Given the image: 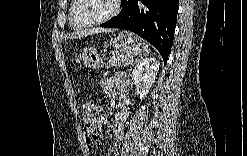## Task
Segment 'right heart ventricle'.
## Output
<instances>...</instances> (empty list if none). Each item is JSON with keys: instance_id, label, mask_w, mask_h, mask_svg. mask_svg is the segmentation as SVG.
I'll return each mask as SVG.
<instances>
[{"instance_id": "1", "label": "right heart ventricle", "mask_w": 247, "mask_h": 156, "mask_svg": "<svg viewBox=\"0 0 247 156\" xmlns=\"http://www.w3.org/2000/svg\"><path fill=\"white\" fill-rule=\"evenodd\" d=\"M75 2L76 1H72L70 9H69V14H68L69 15V23H70L71 28H73V29H77L75 26H73V24L71 22V14H72V10H73Z\"/></svg>"}]
</instances>
